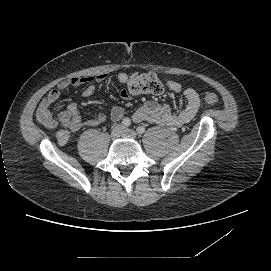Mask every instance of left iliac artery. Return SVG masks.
<instances>
[{
  "instance_id": "left-iliac-artery-1",
  "label": "left iliac artery",
  "mask_w": 271,
  "mask_h": 271,
  "mask_svg": "<svg viewBox=\"0 0 271 271\" xmlns=\"http://www.w3.org/2000/svg\"><path fill=\"white\" fill-rule=\"evenodd\" d=\"M136 131L138 134H143L145 132V128L143 126H139L137 127Z\"/></svg>"
}]
</instances>
